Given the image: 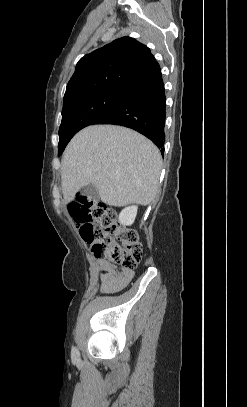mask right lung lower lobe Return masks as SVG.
Instances as JSON below:
<instances>
[{
	"label": "right lung lower lobe",
	"mask_w": 247,
	"mask_h": 407,
	"mask_svg": "<svg viewBox=\"0 0 247 407\" xmlns=\"http://www.w3.org/2000/svg\"><path fill=\"white\" fill-rule=\"evenodd\" d=\"M166 97L162 74L135 89L93 124H116L138 131L164 153Z\"/></svg>",
	"instance_id": "1"
}]
</instances>
